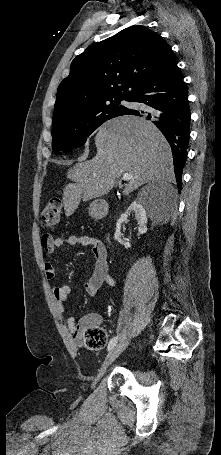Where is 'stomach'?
<instances>
[{"label": "stomach", "mask_w": 221, "mask_h": 455, "mask_svg": "<svg viewBox=\"0 0 221 455\" xmlns=\"http://www.w3.org/2000/svg\"><path fill=\"white\" fill-rule=\"evenodd\" d=\"M89 213L95 215L97 213V202H94L90 205Z\"/></svg>", "instance_id": "obj_1"}]
</instances>
